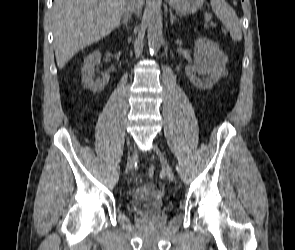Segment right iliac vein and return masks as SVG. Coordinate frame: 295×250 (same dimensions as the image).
<instances>
[{
    "instance_id": "63e3f726",
    "label": "right iliac vein",
    "mask_w": 295,
    "mask_h": 250,
    "mask_svg": "<svg viewBox=\"0 0 295 250\" xmlns=\"http://www.w3.org/2000/svg\"><path fill=\"white\" fill-rule=\"evenodd\" d=\"M135 156L133 154H129L126 164V170H131L133 167Z\"/></svg>"
}]
</instances>
